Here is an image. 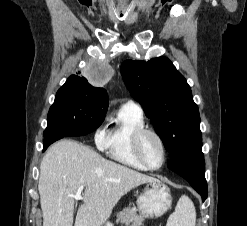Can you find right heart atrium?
<instances>
[{
    "label": "right heart atrium",
    "mask_w": 247,
    "mask_h": 226,
    "mask_svg": "<svg viewBox=\"0 0 247 226\" xmlns=\"http://www.w3.org/2000/svg\"><path fill=\"white\" fill-rule=\"evenodd\" d=\"M108 128L106 126L100 127L95 133V143L99 148L104 149L108 142Z\"/></svg>",
    "instance_id": "1"
}]
</instances>
